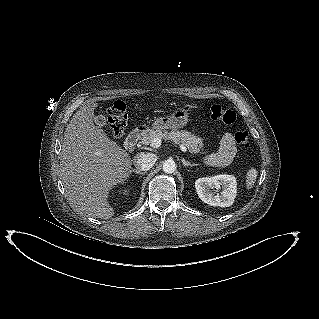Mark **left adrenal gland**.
Here are the masks:
<instances>
[{"mask_svg": "<svg viewBox=\"0 0 319 319\" xmlns=\"http://www.w3.org/2000/svg\"><path fill=\"white\" fill-rule=\"evenodd\" d=\"M182 164L184 165V167H188V166H198L199 164L196 163H190L189 161H185V159H182Z\"/></svg>", "mask_w": 319, "mask_h": 319, "instance_id": "obj_1", "label": "left adrenal gland"}]
</instances>
